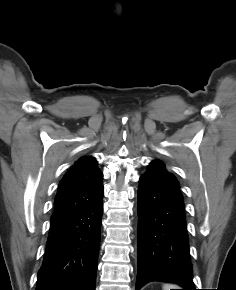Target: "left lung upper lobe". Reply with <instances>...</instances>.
<instances>
[{"instance_id": "1", "label": "left lung upper lobe", "mask_w": 236, "mask_h": 290, "mask_svg": "<svg viewBox=\"0 0 236 290\" xmlns=\"http://www.w3.org/2000/svg\"><path fill=\"white\" fill-rule=\"evenodd\" d=\"M145 175L168 181L179 186L175 176L166 170L165 164L160 160H153L149 164V170L145 173Z\"/></svg>"}]
</instances>
